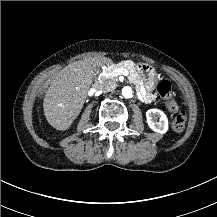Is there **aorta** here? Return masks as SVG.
I'll return each mask as SVG.
<instances>
[{"label": "aorta", "mask_w": 217, "mask_h": 217, "mask_svg": "<svg viewBox=\"0 0 217 217\" xmlns=\"http://www.w3.org/2000/svg\"><path fill=\"white\" fill-rule=\"evenodd\" d=\"M122 96L124 98H132L133 97V90L131 87L129 86H125L122 89Z\"/></svg>", "instance_id": "aorta-1"}]
</instances>
